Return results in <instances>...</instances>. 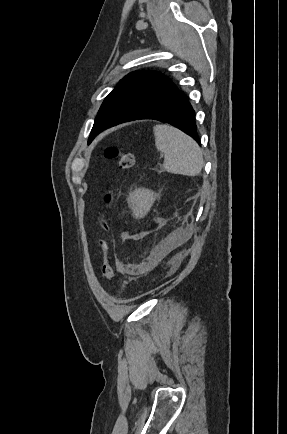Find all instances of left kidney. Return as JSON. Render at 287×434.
<instances>
[{
	"instance_id": "left-kidney-1",
	"label": "left kidney",
	"mask_w": 287,
	"mask_h": 434,
	"mask_svg": "<svg viewBox=\"0 0 287 434\" xmlns=\"http://www.w3.org/2000/svg\"><path fill=\"white\" fill-rule=\"evenodd\" d=\"M155 195L148 189L135 190L129 199L130 205L134 212L142 213L144 210H148L154 203Z\"/></svg>"
}]
</instances>
